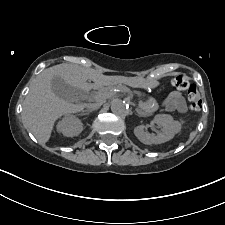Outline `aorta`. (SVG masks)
<instances>
[{"mask_svg": "<svg viewBox=\"0 0 225 225\" xmlns=\"http://www.w3.org/2000/svg\"><path fill=\"white\" fill-rule=\"evenodd\" d=\"M111 111L115 115L126 116L128 114V106L123 100L116 98L111 102Z\"/></svg>", "mask_w": 225, "mask_h": 225, "instance_id": "aorta-1", "label": "aorta"}]
</instances>
